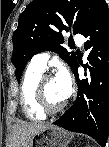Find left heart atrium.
Here are the masks:
<instances>
[{
    "mask_svg": "<svg viewBox=\"0 0 109 147\" xmlns=\"http://www.w3.org/2000/svg\"><path fill=\"white\" fill-rule=\"evenodd\" d=\"M55 79L60 86V90L64 99L68 98L71 95L73 89V82L70 71L66 67H61Z\"/></svg>",
    "mask_w": 109,
    "mask_h": 147,
    "instance_id": "39dd6f15",
    "label": "left heart atrium"
}]
</instances>
